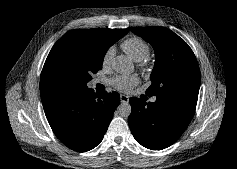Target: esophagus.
<instances>
[{
  "label": "esophagus",
  "mask_w": 237,
  "mask_h": 169,
  "mask_svg": "<svg viewBox=\"0 0 237 169\" xmlns=\"http://www.w3.org/2000/svg\"><path fill=\"white\" fill-rule=\"evenodd\" d=\"M120 100H121V102H123V103H128V102H129V97L126 96V95H124V94H121V95H120Z\"/></svg>",
  "instance_id": "obj_1"
}]
</instances>
